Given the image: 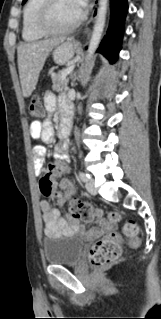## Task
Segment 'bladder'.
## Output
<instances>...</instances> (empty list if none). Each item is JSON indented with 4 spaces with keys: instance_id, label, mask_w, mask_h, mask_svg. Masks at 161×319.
<instances>
[{
    "instance_id": "31cf9c89",
    "label": "bladder",
    "mask_w": 161,
    "mask_h": 319,
    "mask_svg": "<svg viewBox=\"0 0 161 319\" xmlns=\"http://www.w3.org/2000/svg\"><path fill=\"white\" fill-rule=\"evenodd\" d=\"M85 250V242L78 235L45 236L43 239L44 262L48 265H74Z\"/></svg>"
}]
</instances>
